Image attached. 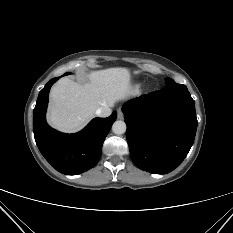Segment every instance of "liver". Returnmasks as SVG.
<instances>
[{"label": "liver", "instance_id": "6515ba94", "mask_svg": "<svg viewBox=\"0 0 233 233\" xmlns=\"http://www.w3.org/2000/svg\"><path fill=\"white\" fill-rule=\"evenodd\" d=\"M87 77L89 82L84 85L64 77L51 88L47 121L52 127L69 133L79 131L99 107H113L132 94L126 68L92 71Z\"/></svg>", "mask_w": 233, "mask_h": 233}]
</instances>
